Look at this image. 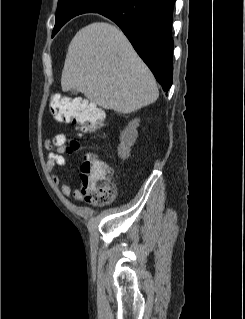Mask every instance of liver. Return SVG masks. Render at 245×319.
<instances>
[{
    "label": "liver",
    "instance_id": "liver-1",
    "mask_svg": "<svg viewBox=\"0 0 245 319\" xmlns=\"http://www.w3.org/2000/svg\"><path fill=\"white\" fill-rule=\"evenodd\" d=\"M63 91L74 89L91 102L131 113L155 102V78L122 31L106 22L80 29L69 44L61 76Z\"/></svg>",
    "mask_w": 245,
    "mask_h": 319
}]
</instances>
